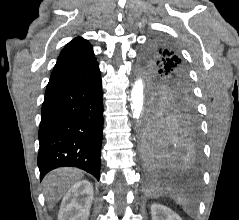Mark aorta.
Here are the masks:
<instances>
[{"label":"aorta","instance_id":"aorta-1","mask_svg":"<svg viewBox=\"0 0 239 220\" xmlns=\"http://www.w3.org/2000/svg\"><path fill=\"white\" fill-rule=\"evenodd\" d=\"M144 103V82L142 78H138L131 91V110L133 117L139 119L143 113Z\"/></svg>","mask_w":239,"mask_h":220}]
</instances>
